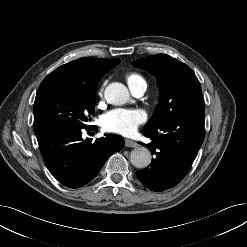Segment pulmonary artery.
<instances>
[{
    "label": "pulmonary artery",
    "instance_id": "1",
    "mask_svg": "<svg viewBox=\"0 0 247 247\" xmlns=\"http://www.w3.org/2000/svg\"><path fill=\"white\" fill-rule=\"evenodd\" d=\"M131 89V92L133 93L134 96L136 97H141L145 90H146V84H139L137 86H134V87H130Z\"/></svg>",
    "mask_w": 247,
    "mask_h": 247
}]
</instances>
